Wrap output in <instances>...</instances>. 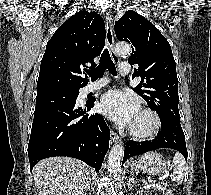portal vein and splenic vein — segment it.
<instances>
[{"label": "portal vein and splenic vein", "instance_id": "obj_1", "mask_svg": "<svg viewBox=\"0 0 211 195\" xmlns=\"http://www.w3.org/2000/svg\"><path fill=\"white\" fill-rule=\"evenodd\" d=\"M166 176H167V174H166ZM153 186H155V182H152L151 184L145 183V187H147V188H150V187H153Z\"/></svg>", "mask_w": 211, "mask_h": 195}]
</instances>
